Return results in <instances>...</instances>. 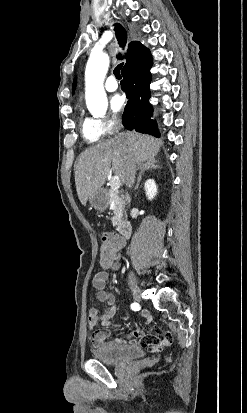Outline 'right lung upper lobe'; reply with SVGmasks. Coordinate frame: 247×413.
<instances>
[{"instance_id":"1","label":"right lung upper lobe","mask_w":247,"mask_h":413,"mask_svg":"<svg viewBox=\"0 0 247 413\" xmlns=\"http://www.w3.org/2000/svg\"><path fill=\"white\" fill-rule=\"evenodd\" d=\"M118 59L122 57L117 56ZM152 66L150 51L140 42L133 41L128 46L126 54V64L122 69V75H136L146 71Z\"/></svg>"}]
</instances>
